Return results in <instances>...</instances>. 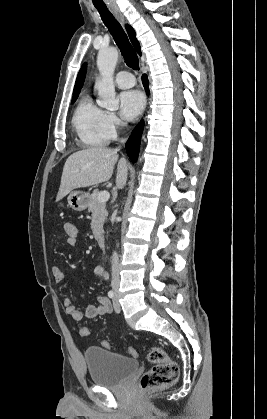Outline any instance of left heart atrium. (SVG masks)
I'll return each instance as SVG.
<instances>
[{"instance_id":"left-heart-atrium-1","label":"left heart atrium","mask_w":267,"mask_h":419,"mask_svg":"<svg viewBox=\"0 0 267 419\" xmlns=\"http://www.w3.org/2000/svg\"><path fill=\"white\" fill-rule=\"evenodd\" d=\"M120 111L127 120L135 119L143 110L145 99L138 90H127L119 95Z\"/></svg>"}]
</instances>
